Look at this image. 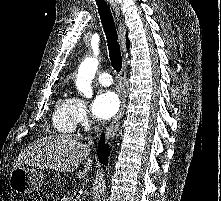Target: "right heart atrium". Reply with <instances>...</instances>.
<instances>
[{
  "label": "right heart atrium",
  "mask_w": 221,
  "mask_h": 201,
  "mask_svg": "<svg viewBox=\"0 0 221 201\" xmlns=\"http://www.w3.org/2000/svg\"><path fill=\"white\" fill-rule=\"evenodd\" d=\"M73 116L76 126H84L88 123V109L86 102L78 97L72 98Z\"/></svg>",
  "instance_id": "d8ad5b80"
}]
</instances>
